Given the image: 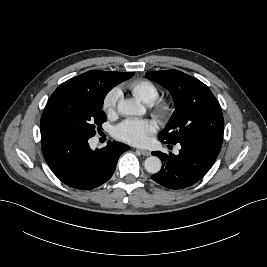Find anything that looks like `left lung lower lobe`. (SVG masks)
I'll list each match as a JSON object with an SVG mask.
<instances>
[{
	"mask_svg": "<svg viewBox=\"0 0 267 267\" xmlns=\"http://www.w3.org/2000/svg\"><path fill=\"white\" fill-rule=\"evenodd\" d=\"M222 141L223 137L219 136H199L180 142L178 155L152 152L161 159L162 168L151 178L169 189H183L195 184L214 164Z\"/></svg>",
	"mask_w": 267,
	"mask_h": 267,
	"instance_id": "obj_1",
	"label": "left lung lower lobe"
}]
</instances>
